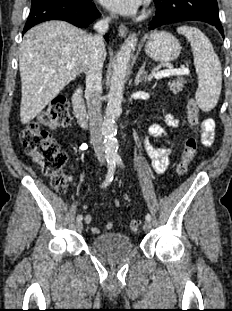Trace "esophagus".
Masks as SVG:
<instances>
[{"label":"esophagus","mask_w":232,"mask_h":311,"mask_svg":"<svg viewBox=\"0 0 232 311\" xmlns=\"http://www.w3.org/2000/svg\"><path fill=\"white\" fill-rule=\"evenodd\" d=\"M118 34L125 37L128 34V28L125 25H120L118 28Z\"/></svg>","instance_id":"1"}]
</instances>
